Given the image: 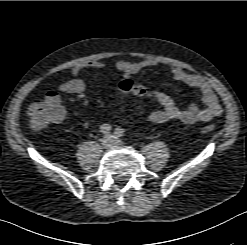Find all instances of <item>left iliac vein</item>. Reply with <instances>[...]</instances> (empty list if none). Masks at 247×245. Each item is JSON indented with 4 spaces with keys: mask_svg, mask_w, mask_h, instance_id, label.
<instances>
[{
    "mask_svg": "<svg viewBox=\"0 0 247 245\" xmlns=\"http://www.w3.org/2000/svg\"><path fill=\"white\" fill-rule=\"evenodd\" d=\"M121 144H123V142L120 139L114 138V145H121Z\"/></svg>",
    "mask_w": 247,
    "mask_h": 245,
    "instance_id": "left-iliac-vein-1",
    "label": "left iliac vein"
}]
</instances>
